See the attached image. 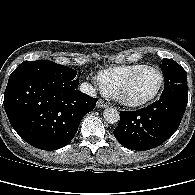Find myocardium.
Returning <instances> with one entry per match:
<instances>
[{
	"label": "myocardium",
	"mask_w": 195,
	"mask_h": 195,
	"mask_svg": "<svg viewBox=\"0 0 195 195\" xmlns=\"http://www.w3.org/2000/svg\"><path fill=\"white\" fill-rule=\"evenodd\" d=\"M144 70H153V71L158 73L159 78H160L158 88L156 89V91L152 95H150L144 99L133 100V99L128 98L127 91L129 89L131 83L137 77V75L140 74ZM164 82H165V78H164L163 72L158 67L151 66V65H144V66L140 67L139 69H137L136 71H134L126 79V81L121 86L118 95L115 96L114 98L118 102H120L121 104H123L127 107H132V108L142 107V106H145V105L151 103L153 100H155L160 95V93L162 92L163 87H164Z\"/></svg>",
	"instance_id": "1"
}]
</instances>
